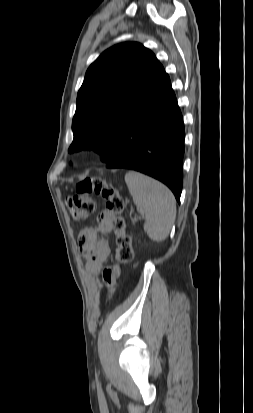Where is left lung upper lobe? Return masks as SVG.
I'll use <instances>...</instances> for the list:
<instances>
[{
    "mask_svg": "<svg viewBox=\"0 0 253 413\" xmlns=\"http://www.w3.org/2000/svg\"><path fill=\"white\" fill-rule=\"evenodd\" d=\"M165 75L153 52L139 43L103 52L78 91L69 152L93 149L106 164L114 160L124 124L141 111Z\"/></svg>",
    "mask_w": 253,
    "mask_h": 413,
    "instance_id": "5c2ea615",
    "label": "left lung upper lobe"
}]
</instances>
